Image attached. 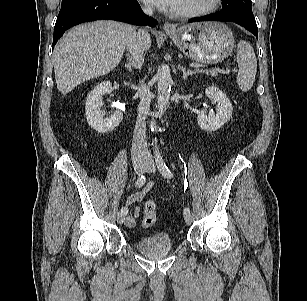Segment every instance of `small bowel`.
<instances>
[{
  "label": "small bowel",
  "instance_id": "small-bowel-1",
  "mask_svg": "<svg viewBox=\"0 0 307 301\" xmlns=\"http://www.w3.org/2000/svg\"><path fill=\"white\" fill-rule=\"evenodd\" d=\"M152 187H153L152 184H148L141 190H138L127 196L126 205L127 206L136 205L137 203L143 201L148 192L152 189ZM139 215H140V208L138 206H135L133 208L132 213L125 220L126 225L129 227H133L136 224V219L139 217Z\"/></svg>",
  "mask_w": 307,
  "mask_h": 301
}]
</instances>
